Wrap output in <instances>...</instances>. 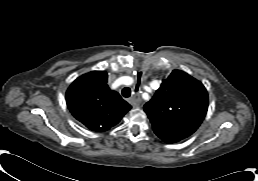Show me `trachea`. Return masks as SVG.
Instances as JSON below:
<instances>
[{
    "mask_svg": "<svg viewBox=\"0 0 258 181\" xmlns=\"http://www.w3.org/2000/svg\"><path fill=\"white\" fill-rule=\"evenodd\" d=\"M122 95H123L125 98L130 97V95H131V89H130L129 87L123 88V90H122Z\"/></svg>",
    "mask_w": 258,
    "mask_h": 181,
    "instance_id": "trachea-1",
    "label": "trachea"
}]
</instances>
